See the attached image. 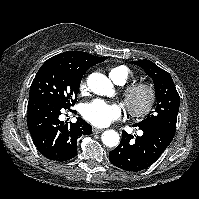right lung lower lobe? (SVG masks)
<instances>
[{
  "label": "right lung lower lobe",
  "instance_id": "right-lung-lower-lobe-1",
  "mask_svg": "<svg viewBox=\"0 0 199 199\" xmlns=\"http://www.w3.org/2000/svg\"><path fill=\"white\" fill-rule=\"evenodd\" d=\"M63 104L47 95L29 98L27 125L38 151L53 161H66L77 154V139L90 135L92 127L78 118L76 123H64L59 115ZM74 112V111H72Z\"/></svg>",
  "mask_w": 199,
  "mask_h": 199
}]
</instances>
